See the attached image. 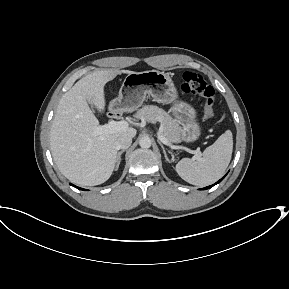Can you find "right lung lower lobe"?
I'll return each mask as SVG.
<instances>
[{
  "instance_id": "obj_1",
  "label": "right lung lower lobe",
  "mask_w": 289,
  "mask_h": 289,
  "mask_svg": "<svg viewBox=\"0 0 289 289\" xmlns=\"http://www.w3.org/2000/svg\"><path fill=\"white\" fill-rule=\"evenodd\" d=\"M71 185H72V184H71ZM72 186H74V185H72ZM74 187H76V186H74ZM76 188L81 189V188H79V187H76ZM82 190H84V189H82Z\"/></svg>"
}]
</instances>
